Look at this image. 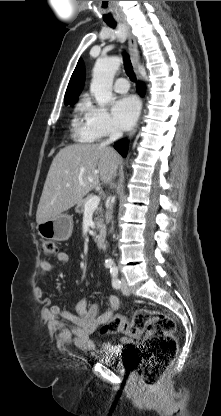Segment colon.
Masks as SVG:
<instances>
[{
    "label": "colon",
    "mask_w": 221,
    "mask_h": 416,
    "mask_svg": "<svg viewBox=\"0 0 221 416\" xmlns=\"http://www.w3.org/2000/svg\"><path fill=\"white\" fill-rule=\"evenodd\" d=\"M45 255L57 252V244L53 240H45L42 244ZM105 335L123 333L129 336L144 334L140 350V375L145 384L153 385L163 375L173 361L178 342L175 337L176 323L167 313L139 309L131 318L115 315L101 326Z\"/></svg>",
    "instance_id": "colon-1"
}]
</instances>
